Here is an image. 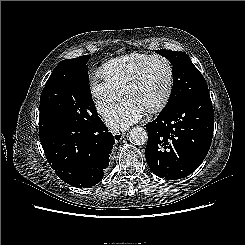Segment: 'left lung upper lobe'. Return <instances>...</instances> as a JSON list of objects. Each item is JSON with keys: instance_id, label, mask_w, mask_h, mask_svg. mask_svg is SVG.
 I'll list each match as a JSON object with an SVG mask.
<instances>
[{"instance_id": "obj_1", "label": "left lung upper lobe", "mask_w": 245, "mask_h": 245, "mask_svg": "<svg viewBox=\"0 0 245 245\" xmlns=\"http://www.w3.org/2000/svg\"><path fill=\"white\" fill-rule=\"evenodd\" d=\"M155 52L166 57L173 64V88L161 113L171 111L182 101L196 93L208 92V86L203 75L194 66L187 54L170 50H156Z\"/></svg>"}]
</instances>
